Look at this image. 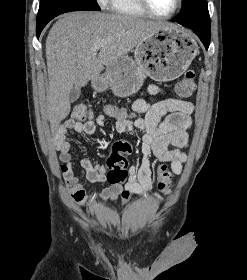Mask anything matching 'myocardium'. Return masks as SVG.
<instances>
[{
    "label": "myocardium",
    "mask_w": 247,
    "mask_h": 280,
    "mask_svg": "<svg viewBox=\"0 0 247 280\" xmlns=\"http://www.w3.org/2000/svg\"><path fill=\"white\" fill-rule=\"evenodd\" d=\"M175 6L171 12L165 15L156 13L149 5L148 0H138L139 5L145 11L146 14L158 18V19H169L172 18L180 9L182 5V0H176Z\"/></svg>",
    "instance_id": "1"
}]
</instances>
